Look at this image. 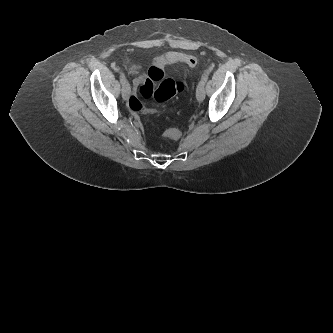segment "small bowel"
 Instances as JSON below:
<instances>
[{"label":"small bowel","instance_id":"c3829d8e","mask_svg":"<svg viewBox=\"0 0 333 333\" xmlns=\"http://www.w3.org/2000/svg\"><path fill=\"white\" fill-rule=\"evenodd\" d=\"M172 63H185L189 66H194L196 64V59L191 55L181 52H166L163 54H159L154 57L155 66H150L146 70L147 78L144 80V77L136 76L133 80L134 85L138 86L141 83L144 84L148 79L150 81L162 82L166 78V71L162 67ZM131 72L136 74L135 69H132ZM141 96L143 98H146V95L141 94ZM137 100L141 103L138 98Z\"/></svg>","mask_w":333,"mask_h":333}]
</instances>
